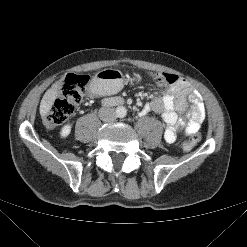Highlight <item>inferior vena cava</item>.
Returning <instances> with one entry per match:
<instances>
[{
  "instance_id": "1",
  "label": "inferior vena cava",
  "mask_w": 247,
  "mask_h": 247,
  "mask_svg": "<svg viewBox=\"0 0 247 247\" xmlns=\"http://www.w3.org/2000/svg\"><path fill=\"white\" fill-rule=\"evenodd\" d=\"M99 117L103 122H114L116 119V113L113 108L102 107L99 109Z\"/></svg>"
}]
</instances>
